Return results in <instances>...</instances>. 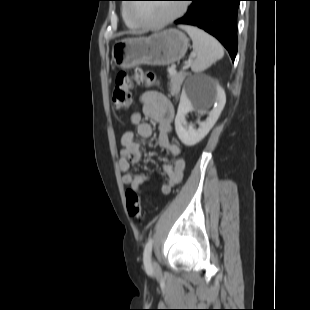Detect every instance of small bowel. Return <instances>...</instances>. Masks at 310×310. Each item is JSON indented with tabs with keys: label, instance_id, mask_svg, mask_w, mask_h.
Here are the masks:
<instances>
[{
	"label": "small bowel",
	"instance_id": "small-bowel-1",
	"mask_svg": "<svg viewBox=\"0 0 310 310\" xmlns=\"http://www.w3.org/2000/svg\"><path fill=\"white\" fill-rule=\"evenodd\" d=\"M142 112H135L131 115L130 121L136 129V133L142 138H149L153 128L151 123L144 120L147 118L158 126V144L161 149L169 152L174 157L173 163H164L162 168L166 180L162 184L161 192L169 195L173 189L180 184L185 176V161L181 157V148L177 143L170 140L171 123L174 118V107L162 93L149 90L140 97ZM119 168L124 173L123 184L129 186L137 193L141 192L142 186L148 181L146 174H133L129 172L131 166L143 158L141 144L135 139L134 133L125 132L120 139Z\"/></svg>",
	"mask_w": 310,
	"mask_h": 310
}]
</instances>
